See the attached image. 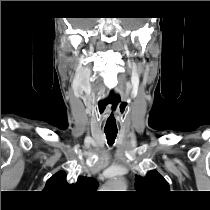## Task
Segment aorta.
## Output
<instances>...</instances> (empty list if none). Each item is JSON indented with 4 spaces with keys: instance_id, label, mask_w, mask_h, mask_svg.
I'll return each mask as SVG.
<instances>
[{
    "instance_id": "aorta-1",
    "label": "aorta",
    "mask_w": 210,
    "mask_h": 210,
    "mask_svg": "<svg viewBox=\"0 0 210 210\" xmlns=\"http://www.w3.org/2000/svg\"><path fill=\"white\" fill-rule=\"evenodd\" d=\"M106 188L112 189V191H123L122 189H125V181L122 177L114 178L110 183L106 185Z\"/></svg>"
}]
</instances>
